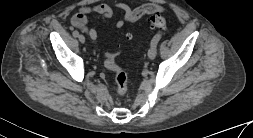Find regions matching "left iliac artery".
Segmentation results:
<instances>
[{
	"label": "left iliac artery",
	"instance_id": "44dca946",
	"mask_svg": "<svg viewBox=\"0 0 253 138\" xmlns=\"http://www.w3.org/2000/svg\"><path fill=\"white\" fill-rule=\"evenodd\" d=\"M161 37H162V35H161L160 33L156 34V35L153 37L152 41H151V46H152V45H157L158 42L160 41Z\"/></svg>",
	"mask_w": 253,
	"mask_h": 138
}]
</instances>
